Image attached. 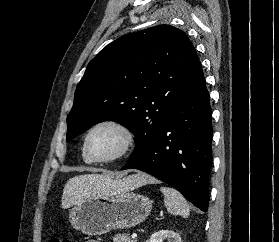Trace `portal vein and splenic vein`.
<instances>
[{
    "label": "portal vein and splenic vein",
    "mask_w": 279,
    "mask_h": 242,
    "mask_svg": "<svg viewBox=\"0 0 279 242\" xmlns=\"http://www.w3.org/2000/svg\"><path fill=\"white\" fill-rule=\"evenodd\" d=\"M131 237H132V239H135V238L137 237V234H136V233H133V234L131 235Z\"/></svg>",
    "instance_id": "portal-vein-and-splenic-vein-1"
}]
</instances>
